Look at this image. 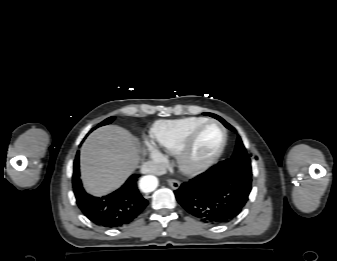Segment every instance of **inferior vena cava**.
<instances>
[{"label": "inferior vena cava", "instance_id": "inferior-vena-cava-1", "mask_svg": "<svg viewBox=\"0 0 337 261\" xmlns=\"http://www.w3.org/2000/svg\"><path fill=\"white\" fill-rule=\"evenodd\" d=\"M141 172L144 174L151 173L156 175H162L166 173V170L159 163H156L154 161H147L141 165Z\"/></svg>", "mask_w": 337, "mask_h": 261}]
</instances>
